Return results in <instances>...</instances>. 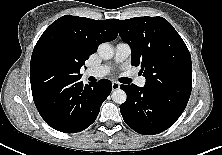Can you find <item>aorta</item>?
<instances>
[{
    "label": "aorta",
    "mask_w": 222,
    "mask_h": 155,
    "mask_svg": "<svg viewBox=\"0 0 222 155\" xmlns=\"http://www.w3.org/2000/svg\"><path fill=\"white\" fill-rule=\"evenodd\" d=\"M98 54L101 58L108 60L114 55V49L109 43H102L98 47ZM127 99V95L124 90L116 89L112 93V100L117 104H123Z\"/></svg>",
    "instance_id": "762f6f07"
}]
</instances>
